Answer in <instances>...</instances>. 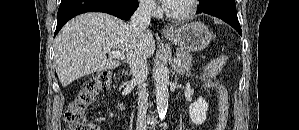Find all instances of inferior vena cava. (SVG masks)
I'll return each instance as SVG.
<instances>
[{
    "mask_svg": "<svg viewBox=\"0 0 299 130\" xmlns=\"http://www.w3.org/2000/svg\"><path fill=\"white\" fill-rule=\"evenodd\" d=\"M152 10L153 6L150 2H141L139 4L130 23V28L133 30L135 36L142 37L147 30V27L151 22ZM129 65L133 75V81L138 85L139 89L136 130H147L146 112L148 106V93L144 86L148 74L147 58L141 52L136 51L130 56Z\"/></svg>",
    "mask_w": 299,
    "mask_h": 130,
    "instance_id": "obj_1",
    "label": "inferior vena cava"
}]
</instances>
